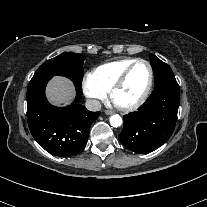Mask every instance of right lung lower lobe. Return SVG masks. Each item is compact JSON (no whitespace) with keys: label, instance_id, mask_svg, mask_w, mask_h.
I'll return each mask as SVG.
<instances>
[{"label":"right lung lower lobe","instance_id":"1","mask_svg":"<svg viewBox=\"0 0 207 207\" xmlns=\"http://www.w3.org/2000/svg\"><path fill=\"white\" fill-rule=\"evenodd\" d=\"M51 76L32 78L27 90V120L34 139L53 155L72 156L85 147L91 124L100 112H91L78 104L79 88L75 85V103L66 107L52 106L46 99L45 87Z\"/></svg>","mask_w":207,"mask_h":207}]
</instances>
